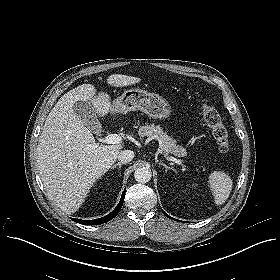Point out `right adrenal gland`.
Returning a JSON list of instances; mask_svg holds the SVG:
<instances>
[{
    "mask_svg": "<svg viewBox=\"0 0 280 280\" xmlns=\"http://www.w3.org/2000/svg\"><path fill=\"white\" fill-rule=\"evenodd\" d=\"M125 164V163H122V162H118L117 164H114L111 168H115V167H119V169H121V166Z\"/></svg>",
    "mask_w": 280,
    "mask_h": 280,
    "instance_id": "1",
    "label": "right adrenal gland"
}]
</instances>
